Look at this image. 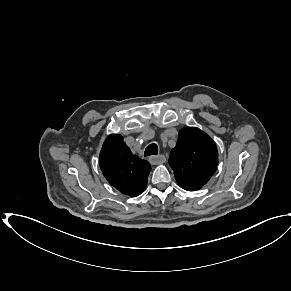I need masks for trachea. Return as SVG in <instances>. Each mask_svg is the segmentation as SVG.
<instances>
[{
  "instance_id": "3493384b",
  "label": "trachea",
  "mask_w": 291,
  "mask_h": 291,
  "mask_svg": "<svg viewBox=\"0 0 291 291\" xmlns=\"http://www.w3.org/2000/svg\"><path fill=\"white\" fill-rule=\"evenodd\" d=\"M157 154H158V147L154 143L147 146L144 152V156L157 155Z\"/></svg>"
}]
</instances>
